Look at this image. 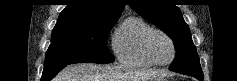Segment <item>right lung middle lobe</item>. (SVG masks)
<instances>
[{"mask_svg": "<svg viewBox=\"0 0 237 81\" xmlns=\"http://www.w3.org/2000/svg\"><path fill=\"white\" fill-rule=\"evenodd\" d=\"M116 21L58 19L44 67L83 62L112 63L114 58L106 40Z\"/></svg>", "mask_w": 237, "mask_h": 81, "instance_id": "dd1d6c3e", "label": "right lung middle lobe"}]
</instances>
